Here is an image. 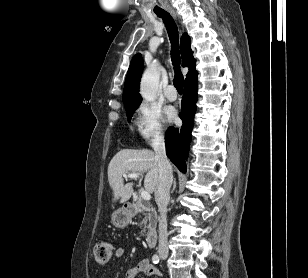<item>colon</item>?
Returning <instances> with one entry per match:
<instances>
[{
    "label": "colon",
    "instance_id": "colon-1",
    "mask_svg": "<svg viewBox=\"0 0 308 278\" xmlns=\"http://www.w3.org/2000/svg\"><path fill=\"white\" fill-rule=\"evenodd\" d=\"M93 254L97 264L106 265L113 255V247L107 241H100L94 246Z\"/></svg>",
    "mask_w": 308,
    "mask_h": 278
}]
</instances>
